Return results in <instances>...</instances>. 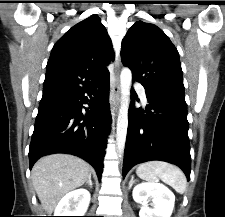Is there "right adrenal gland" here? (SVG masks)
<instances>
[{
    "instance_id": "right-adrenal-gland-1",
    "label": "right adrenal gland",
    "mask_w": 225,
    "mask_h": 217,
    "mask_svg": "<svg viewBox=\"0 0 225 217\" xmlns=\"http://www.w3.org/2000/svg\"><path fill=\"white\" fill-rule=\"evenodd\" d=\"M86 184H88L92 188L91 173L88 176V180L86 181Z\"/></svg>"
}]
</instances>
